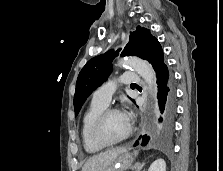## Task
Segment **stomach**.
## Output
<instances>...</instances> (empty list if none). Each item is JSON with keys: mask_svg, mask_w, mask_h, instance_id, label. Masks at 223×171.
<instances>
[{"mask_svg": "<svg viewBox=\"0 0 223 171\" xmlns=\"http://www.w3.org/2000/svg\"><path fill=\"white\" fill-rule=\"evenodd\" d=\"M132 164V157L126 152L120 154L116 160L104 171H126Z\"/></svg>", "mask_w": 223, "mask_h": 171, "instance_id": "1", "label": "stomach"}]
</instances>
